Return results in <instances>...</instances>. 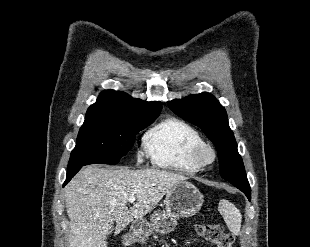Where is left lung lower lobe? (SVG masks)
I'll return each instance as SVG.
<instances>
[{"instance_id": "obj_1", "label": "left lung lower lobe", "mask_w": 310, "mask_h": 247, "mask_svg": "<svg viewBox=\"0 0 310 247\" xmlns=\"http://www.w3.org/2000/svg\"><path fill=\"white\" fill-rule=\"evenodd\" d=\"M230 182L234 186H236L238 189H240L247 196L249 201L251 200V188H250L247 178H244L238 181H230Z\"/></svg>"}]
</instances>
